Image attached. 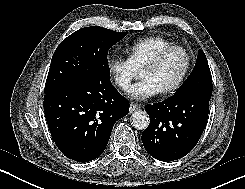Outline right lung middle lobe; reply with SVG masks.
I'll return each instance as SVG.
<instances>
[{
  "label": "right lung middle lobe",
  "mask_w": 245,
  "mask_h": 189,
  "mask_svg": "<svg viewBox=\"0 0 245 189\" xmlns=\"http://www.w3.org/2000/svg\"><path fill=\"white\" fill-rule=\"evenodd\" d=\"M126 34L91 26L68 36L53 54L44 92L76 85L99 73L110 75L108 50Z\"/></svg>",
  "instance_id": "1"
}]
</instances>
